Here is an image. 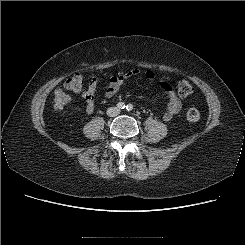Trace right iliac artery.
I'll return each instance as SVG.
<instances>
[{
    "mask_svg": "<svg viewBox=\"0 0 245 245\" xmlns=\"http://www.w3.org/2000/svg\"><path fill=\"white\" fill-rule=\"evenodd\" d=\"M117 107H118V109H120V110H123V109H125V103L124 102H119L118 104H117Z\"/></svg>",
    "mask_w": 245,
    "mask_h": 245,
    "instance_id": "obj_1",
    "label": "right iliac artery"
}]
</instances>
